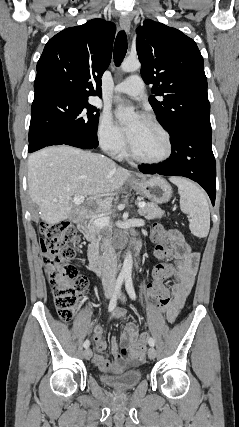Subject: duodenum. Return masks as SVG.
Segmentation results:
<instances>
[{
  "instance_id": "1",
  "label": "duodenum",
  "mask_w": 239,
  "mask_h": 427,
  "mask_svg": "<svg viewBox=\"0 0 239 427\" xmlns=\"http://www.w3.org/2000/svg\"><path fill=\"white\" fill-rule=\"evenodd\" d=\"M79 230L84 239L87 241V258L90 270L97 275H102L104 270L102 258L96 245L92 241V233L90 228L87 226H81L79 227Z\"/></svg>"
}]
</instances>
